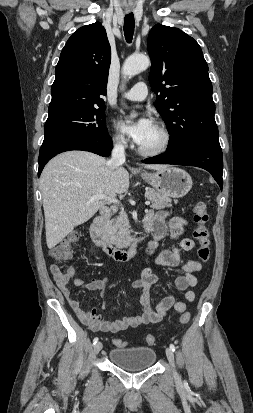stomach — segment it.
Instances as JSON below:
<instances>
[{
	"label": "stomach",
	"mask_w": 253,
	"mask_h": 413,
	"mask_svg": "<svg viewBox=\"0 0 253 413\" xmlns=\"http://www.w3.org/2000/svg\"><path fill=\"white\" fill-rule=\"evenodd\" d=\"M141 177L158 192L172 198L185 196L193 184L191 176L175 166H167L153 173H143Z\"/></svg>",
	"instance_id": "obj_1"
}]
</instances>
